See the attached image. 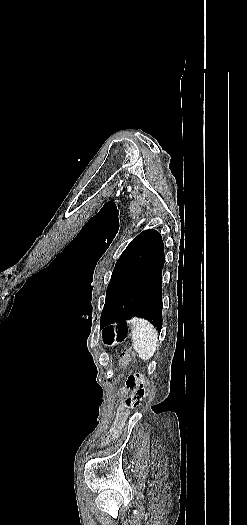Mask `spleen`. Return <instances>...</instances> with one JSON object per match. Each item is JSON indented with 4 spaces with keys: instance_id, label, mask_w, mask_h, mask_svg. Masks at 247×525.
<instances>
[{
    "instance_id": "1",
    "label": "spleen",
    "mask_w": 247,
    "mask_h": 525,
    "mask_svg": "<svg viewBox=\"0 0 247 525\" xmlns=\"http://www.w3.org/2000/svg\"><path fill=\"white\" fill-rule=\"evenodd\" d=\"M131 323L133 325V349L138 353L142 361H149L153 357L156 347H158V333L155 327L149 321H145V319L133 317Z\"/></svg>"
}]
</instances>
